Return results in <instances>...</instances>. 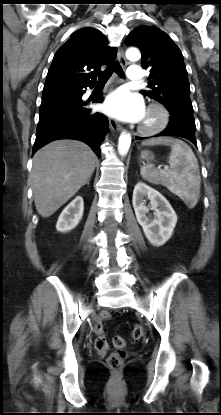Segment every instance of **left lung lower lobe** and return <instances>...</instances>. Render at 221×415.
<instances>
[{
  "instance_id": "0a47b994",
  "label": "left lung lower lobe",
  "mask_w": 221,
  "mask_h": 415,
  "mask_svg": "<svg viewBox=\"0 0 221 415\" xmlns=\"http://www.w3.org/2000/svg\"><path fill=\"white\" fill-rule=\"evenodd\" d=\"M170 112V122L168 127L158 134L157 136H178L183 137L191 141L197 146L195 138V120L193 117V108L186 106H177L172 109H168ZM136 139L142 140L145 138L136 137Z\"/></svg>"
}]
</instances>
